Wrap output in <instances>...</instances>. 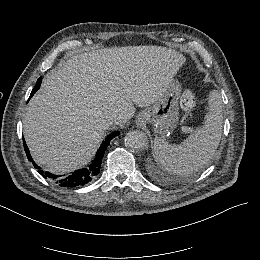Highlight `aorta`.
<instances>
[{
  "instance_id": "762f6f07",
  "label": "aorta",
  "mask_w": 260,
  "mask_h": 260,
  "mask_svg": "<svg viewBox=\"0 0 260 260\" xmlns=\"http://www.w3.org/2000/svg\"><path fill=\"white\" fill-rule=\"evenodd\" d=\"M148 138L141 131H130L125 136V146L131 152H139L147 147Z\"/></svg>"
}]
</instances>
